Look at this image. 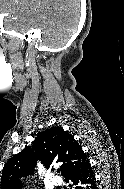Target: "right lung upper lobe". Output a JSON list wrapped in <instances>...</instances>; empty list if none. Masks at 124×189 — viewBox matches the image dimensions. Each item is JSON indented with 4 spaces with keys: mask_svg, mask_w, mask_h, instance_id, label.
I'll return each mask as SVG.
<instances>
[{
    "mask_svg": "<svg viewBox=\"0 0 124 189\" xmlns=\"http://www.w3.org/2000/svg\"><path fill=\"white\" fill-rule=\"evenodd\" d=\"M37 160L47 168L60 163V171L66 177L89 159L70 133L62 127H52L38 133L32 148L27 146L8 160L2 172L1 189H21L19 177L34 173Z\"/></svg>",
    "mask_w": 124,
    "mask_h": 189,
    "instance_id": "right-lung-upper-lobe-1",
    "label": "right lung upper lobe"
}]
</instances>
